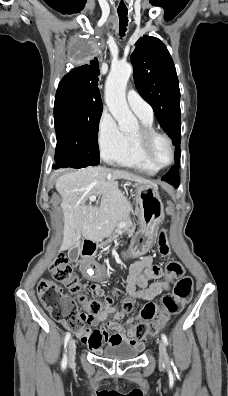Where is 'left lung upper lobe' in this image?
I'll return each mask as SVG.
<instances>
[{
  "label": "left lung upper lobe",
  "instance_id": "1",
  "mask_svg": "<svg viewBox=\"0 0 228 396\" xmlns=\"http://www.w3.org/2000/svg\"><path fill=\"white\" fill-rule=\"evenodd\" d=\"M135 46L131 63L136 88L152 106L161 127L173 139L174 145H180V90L170 53L164 43L155 37L143 36Z\"/></svg>",
  "mask_w": 228,
  "mask_h": 396
}]
</instances>
